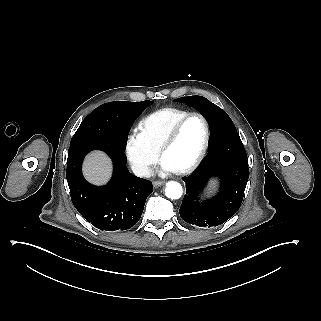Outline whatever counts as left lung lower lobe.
<instances>
[{
	"label": "left lung lower lobe",
	"mask_w": 321,
	"mask_h": 321,
	"mask_svg": "<svg viewBox=\"0 0 321 321\" xmlns=\"http://www.w3.org/2000/svg\"><path fill=\"white\" fill-rule=\"evenodd\" d=\"M221 181L219 193L204 201L200 193L211 177ZM249 178L248 158L237 132L210 140L209 152L197 169L183 180L186 195L179 209L181 218L202 228L218 226L239 209Z\"/></svg>",
	"instance_id": "obj_1"
}]
</instances>
